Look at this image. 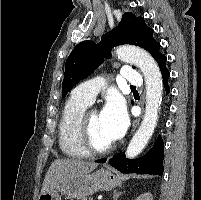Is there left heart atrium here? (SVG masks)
Returning <instances> with one entry per match:
<instances>
[{
  "label": "left heart atrium",
  "instance_id": "39dd6f15",
  "mask_svg": "<svg viewBox=\"0 0 201 200\" xmlns=\"http://www.w3.org/2000/svg\"><path fill=\"white\" fill-rule=\"evenodd\" d=\"M101 119L112 141L119 140L125 134L128 127V117L120 100H109L101 112Z\"/></svg>",
  "mask_w": 201,
  "mask_h": 200
}]
</instances>
